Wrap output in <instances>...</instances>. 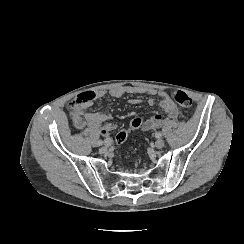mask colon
<instances>
[{
    "mask_svg": "<svg viewBox=\"0 0 244 244\" xmlns=\"http://www.w3.org/2000/svg\"><path fill=\"white\" fill-rule=\"evenodd\" d=\"M172 100L179 107L188 108L192 105V99L190 98V96L186 92L181 90L174 91L172 93ZM83 120H84V116L82 114H78L76 116L75 122L77 125H80L83 122ZM142 124H143V119L138 118L134 120L132 124H129V129H134V127H140ZM125 136H127V130H120V133L116 135V141L118 143L125 142L126 141Z\"/></svg>",
    "mask_w": 244,
    "mask_h": 244,
    "instance_id": "obj_1",
    "label": "colon"
}]
</instances>
